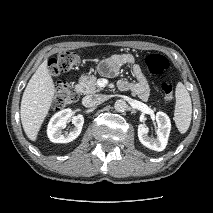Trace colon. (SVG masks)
<instances>
[{"label": "colon", "mask_w": 213, "mask_h": 213, "mask_svg": "<svg viewBox=\"0 0 213 213\" xmlns=\"http://www.w3.org/2000/svg\"><path fill=\"white\" fill-rule=\"evenodd\" d=\"M146 66L150 73L160 75L168 70L169 62L166 57L159 54H151L146 58ZM81 59L78 54L74 52H61L54 56L49 62L50 71L59 75L70 72L78 68ZM163 97L170 100L173 97V86L169 82H163L160 86ZM78 99L76 90L66 82H59L56 85V91L53 104L56 108H64L71 105Z\"/></svg>", "instance_id": "1"}]
</instances>
